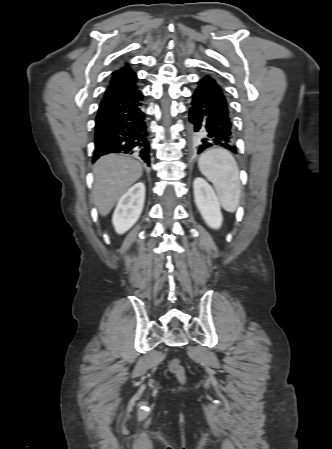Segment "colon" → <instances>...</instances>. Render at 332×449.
<instances>
[{
    "mask_svg": "<svg viewBox=\"0 0 332 449\" xmlns=\"http://www.w3.org/2000/svg\"><path fill=\"white\" fill-rule=\"evenodd\" d=\"M170 371L179 378L184 377V368L178 359H173L169 364Z\"/></svg>",
    "mask_w": 332,
    "mask_h": 449,
    "instance_id": "obj_1",
    "label": "colon"
}]
</instances>
